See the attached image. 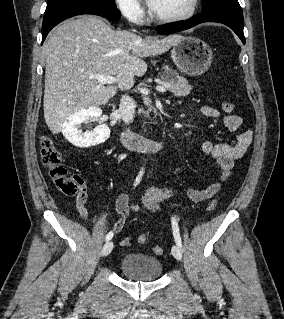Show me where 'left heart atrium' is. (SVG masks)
I'll list each match as a JSON object with an SVG mask.
<instances>
[{
	"label": "left heart atrium",
	"mask_w": 284,
	"mask_h": 319,
	"mask_svg": "<svg viewBox=\"0 0 284 319\" xmlns=\"http://www.w3.org/2000/svg\"><path fill=\"white\" fill-rule=\"evenodd\" d=\"M156 1L157 0H147V3L148 5L151 7V8H154L155 4H156Z\"/></svg>",
	"instance_id": "obj_1"
}]
</instances>
